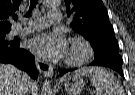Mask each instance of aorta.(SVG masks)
Wrapping results in <instances>:
<instances>
[{
	"instance_id": "aorta-1",
	"label": "aorta",
	"mask_w": 135,
	"mask_h": 95,
	"mask_svg": "<svg viewBox=\"0 0 135 95\" xmlns=\"http://www.w3.org/2000/svg\"><path fill=\"white\" fill-rule=\"evenodd\" d=\"M60 0H43V3L46 6L53 7L58 5ZM41 95H52V88H51V82L49 80H46L43 84Z\"/></svg>"
}]
</instances>
